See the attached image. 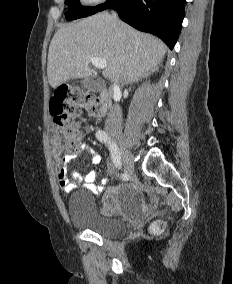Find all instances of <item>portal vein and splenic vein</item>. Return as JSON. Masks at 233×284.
I'll list each match as a JSON object with an SVG mask.
<instances>
[{
	"instance_id": "1",
	"label": "portal vein and splenic vein",
	"mask_w": 233,
	"mask_h": 284,
	"mask_svg": "<svg viewBox=\"0 0 233 284\" xmlns=\"http://www.w3.org/2000/svg\"><path fill=\"white\" fill-rule=\"evenodd\" d=\"M90 62L98 69H105L107 67L106 60L99 57H91Z\"/></svg>"
}]
</instances>
